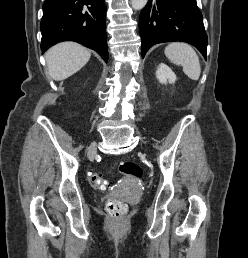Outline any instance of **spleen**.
Segmentation results:
<instances>
[{"mask_svg": "<svg viewBox=\"0 0 248 258\" xmlns=\"http://www.w3.org/2000/svg\"><path fill=\"white\" fill-rule=\"evenodd\" d=\"M164 52L172 63L183 67V72L188 78L194 81L199 79L201 73L199 57L189 44L182 42L170 43Z\"/></svg>", "mask_w": 248, "mask_h": 258, "instance_id": "1", "label": "spleen"}]
</instances>
